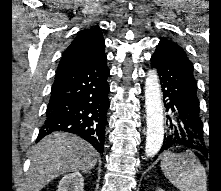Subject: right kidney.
Masks as SVG:
<instances>
[{"label":"right kidney","mask_w":221,"mask_h":191,"mask_svg":"<svg viewBox=\"0 0 221 191\" xmlns=\"http://www.w3.org/2000/svg\"><path fill=\"white\" fill-rule=\"evenodd\" d=\"M57 191H84V179L79 172L65 175L59 182Z\"/></svg>","instance_id":"1"}]
</instances>
